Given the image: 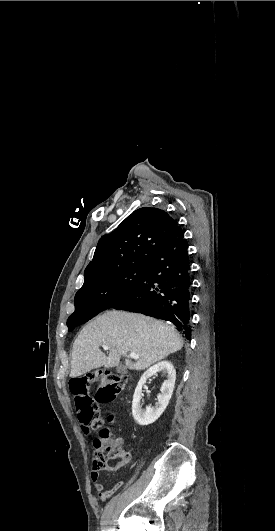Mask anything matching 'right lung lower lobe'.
Wrapping results in <instances>:
<instances>
[{"label":"right lung lower lobe","mask_w":275,"mask_h":531,"mask_svg":"<svg viewBox=\"0 0 275 531\" xmlns=\"http://www.w3.org/2000/svg\"><path fill=\"white\" fill-rule=\"evenodd\" d=\"M190 264L179 227L147 264L131 293L112 308L172 322L190 338Z\"/></svg>","instance_id":"1"}]
</instances>
